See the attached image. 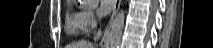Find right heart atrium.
<instances>
[{
	"label": "right heart atrium",
	"mask_w": 213,
	"mask_h": 48,
	"mask_svg": "<svg viewBox=\"0 0 213 48\" xmlns=\"http://www.w3.org/2000/svg\"><path fill=\"white\" fill-rule=\"evenodd\" d=\"M84 32H89L96 23V15L92 10H84L82 14Z\"/></svg>",
	"instance_id": "right-heart-atrium-1"
}]
</instances>
